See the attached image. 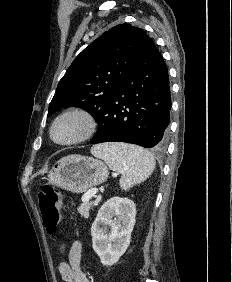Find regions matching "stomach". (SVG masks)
I'll use <instances>...</instances> for the list:
<instances>
[{
    "label": "stomach",
    "mask_w": 232,
    "mask_h": 282,
    "mask_svg": "<svg viewBox=\"0 0 232 282\" xmlns=\"http://www.w3.org/2000/svg\"><path fill=\"white\" fill-rule=\"evenodd\" d=\"M108 174L107 167L98 159L69 155L52 167L48 182L73 193H83L106 181Z\"/></svg>",
    "instance_id": "0dacf381"
}]
</instances>
